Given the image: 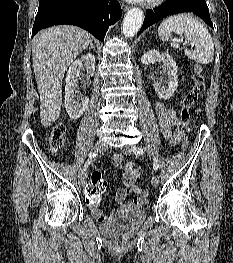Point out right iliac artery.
<instances>
[{
	"mask_svg": "<svg viewBox=\"0 0 233 263\" xmlns=\"http://www.w3.org/2000/svg\"><path fill=\"white\" fill-rule=\"evenodd\" d=\"M96 157V153H90L89 154V159L86 161L84 165V170L87 169L88 165L91 163L92 159Z\"/></svg>",
	"mask_w": 233,
	"mask_h": 263,
	"instance_id": "1",
	"label": "right iliac artery"
}]
</instances>
